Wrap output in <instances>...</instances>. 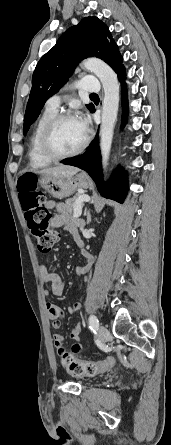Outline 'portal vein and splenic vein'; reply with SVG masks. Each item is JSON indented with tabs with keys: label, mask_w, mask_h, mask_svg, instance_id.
Returning <instances> with one entry per match:
<instances>
[{
	"label": "portal vein and splenic vein",
	"mask_w": 171,
	"mask_h": 445,
	"mask_svg": "<svg viewBox=\"0 0 171 445\" xmlns=\"http://www.w3.org/2000/svg\"><path fill=\"white\" fill-rule=\"evenodd\" d=\"M89 200H90V198L88 196H82L79 198V200L76 202V207H75L74 214H73L74 218H78L82 214L81 203L83 201H89Z\"/></svg>",
	"instance_id": "obj_1"
}]
</instances>
